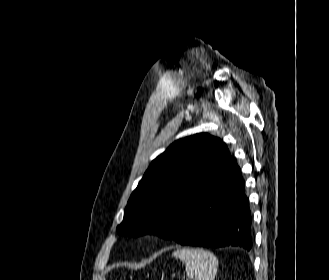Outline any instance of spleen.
<instances>
[{
    "label": "spleen",
    "instance_id": "obj_1",
    "mask_svg": "<svg viewBox=\"0 0 329 280\" xmlns=\"http://www.w3.org/2000/svg\"><path fill=\"white\" fill-rule=\"evenodd\" d=\"M185 265L188 279L215 280L218 260L210 251L199 248H182L172 253Z\"/></svg>",
    "mask_w": 329,
    "mask_h": 280
}]
</instances>
